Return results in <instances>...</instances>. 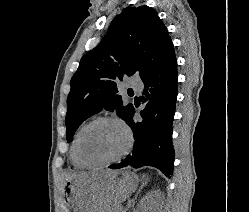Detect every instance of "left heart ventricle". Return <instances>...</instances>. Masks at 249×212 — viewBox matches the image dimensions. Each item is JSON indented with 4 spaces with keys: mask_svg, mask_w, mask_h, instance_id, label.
Here are the masks:
<instances>
[{
    "mask_svg": "<svg viewBox=\"0 0 249 212\" xmlns=\"http://www.w3.org/2000/svg\"><path fill=\"white\" fill-rule=\"evenodd\" d=\"M125 145V133L118 125L102 123L86 134L81 143V154L87 162H104L118 156Z\"/></svg>",
    "mask_w": 249,
    "mask_h": 212,
    "instance_id": "1",
    "label": "left heart ventricle"
}]
</instances>
